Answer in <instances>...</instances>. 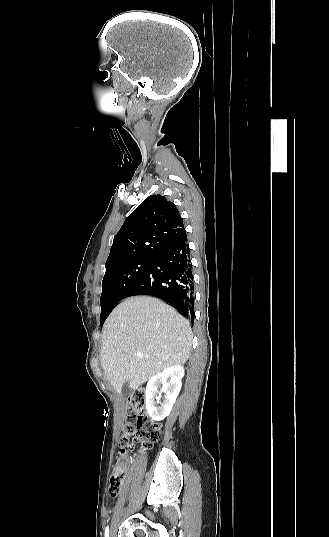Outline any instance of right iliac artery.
Returning <instances> with one entry per match:
<instances>
[{"instance_id":"right-iliac-artery-1","label":"right iliac artery","mask_w":329,"mask_h":537,"mask_svg":"<svg viewBox=\"0 0 329 537\" xmlns=\"http://www.w3.org/2000/svg\"><path fill=\"white\" fill-rule=\"evenodd\" d=\"M105 537H109V527H107L105 530Z\"/></svg>"}]
</instances>
